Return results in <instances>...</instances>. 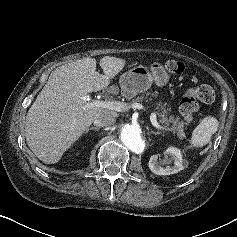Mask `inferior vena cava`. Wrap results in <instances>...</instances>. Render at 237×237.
Masks as SVG:
<instances>
[{"label": "inferior vena cava", "instance_id": "inferior-vena-cava-1", "mask_svg": "<svg viewBox=\"0 0 237 237\" xmlns=\"http://www.w3.org/2000/svg\"><path fill=\"white\" fill-rule=\"evenodd\" d=\"M116 122L114 116L110 114H102L94 120V125L97 127H106L113 125Z\"/></svg>", "mask_w": 237, "mask_h": 237}]
</instances>
